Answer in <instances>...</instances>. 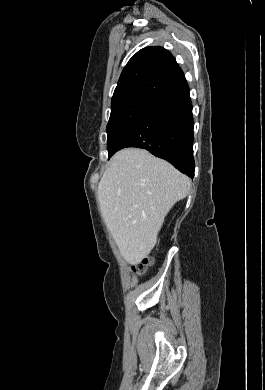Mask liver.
<instances>
[{"label": "liver", "mask_w": 265, "mask_h": 390, "mask_svg": "<svg viewBox=\"0 0 265 390\" xmlns=\"http://www.w3.org/2000/svg\"><path fill=\"white\" fill-rule=\"evenodd\" d=\"M191 180L148 151L126 148L105 170L98 197L106 226L131 265L142 261L157 243L173 205L185 198Z\"/></svg>", "instance_id": "6515ba94"}]
</instances>
